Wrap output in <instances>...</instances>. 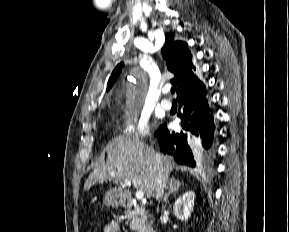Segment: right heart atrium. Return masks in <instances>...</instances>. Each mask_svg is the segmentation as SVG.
Returning a JSON list of instances; mask_svg holds the SVG:
<instances>
[{
  "label": "right heart atrium",
  "instance_id": "right-heart-atrium-1",
  "mask_svg": "<svg viewBox=\"0 0 289 232\" xmlns=\"http://www.w3.org/2000/svg\"><path fill=\"white\" fill-rule=\"evenodd\" d=\"M150 133L149 120L146 116L126 115L119 127V134L124 138L143 139Z\"/></svg>",
  "mask_w": 289,
  "mask_h": 232
}]
</instances>
